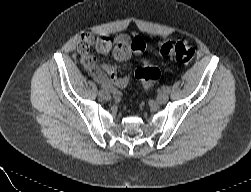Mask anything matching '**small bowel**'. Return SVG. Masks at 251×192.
I'll list each match as a JSON object with an SVG mask.
<instances>
[{"label":"small bowel","instance_id":"c3829d8e","mask_svg":"<svg viewBox=\"0 0 251 192\" xmlns=\"http://www.w3.org/2000/svg\"><path fill=\"white\" fill-rule=\"evenodd\" d=\"M93 47L99 54H112L117 61H125L133 53L138 54L145 49L144 41L138 37L130 38L125 34L117 36L114 40L108 36H98L92 33H87L82 38L78 47L82 65L97 83L118 95V89L128 85L129 77L117 76L113 66L97 63L90 54V49Z\"/></svg>","mask_w":251,"mask_h":192}]
</instances>
